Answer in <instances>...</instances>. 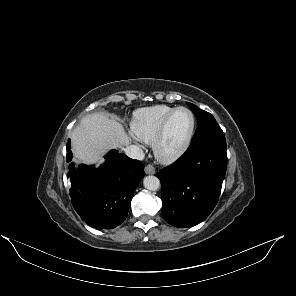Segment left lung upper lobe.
<instances>
[{"label":"left lung upper lobe","mask_w":296,"mask_h":296,"mask_svg":"<svg viewBox=\"0 0 296 296\" xmlns=\"http://www.w3.org/2000/svg\"><path fill=\"white\" fill-rule=\"evenodd\" d=\"M197 118V130L192 138L189 148L196 147L206 142L225 139L224 133L210 113L201 110L192 103H187Z\"/></svg>","instance_id":"obj_1"}]
</instances>
